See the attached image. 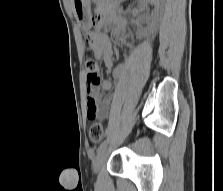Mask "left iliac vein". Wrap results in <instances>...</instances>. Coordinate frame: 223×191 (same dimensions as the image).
I'll return each instance as SVG.
<instances>
[{"label": "left iliac vein", "instance_id": "left-iliac-vein-1", "mask_svg": "<svg viewBox=\"0 0 223 191\" xmlns=\"http://www.w3.org/2000/svg\"><path fill=\"white\" fill-rule=\"evenodd\" d=\"M106 149L100 152L93 161L92 169L94 173H98L105 162Z\"/></svg>", "mask_w": 223, "mask_h": 191}]
</instances>
